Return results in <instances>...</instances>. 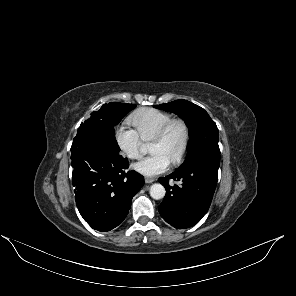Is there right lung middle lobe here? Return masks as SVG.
Masks as SVG:
<instances>
[{"label":"right lung middle lobe","instance_id":"right-lung-middle-lobe-1","mask_svg":"<svg viewBox=\"0 0 296 296\" xmlns=\"http://www.w3.org/2000/svg\"><path fill=\"white\" fill-rule=\"evenodd\" d=\"M135 107L136 105L133 104L117 102L104 104L98 111L92 112L90 118L80 125L78 134H96L112 145L116 152H119L120 148L115 139L114 126Z\"/></svg>","mask_w":296,"mask_h":296}]
</instances>
